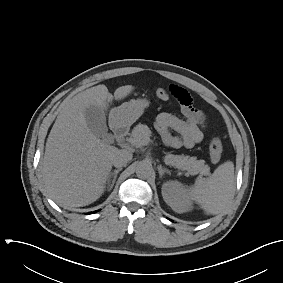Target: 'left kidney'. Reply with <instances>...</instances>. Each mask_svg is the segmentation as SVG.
<instances>
[{"label": "left kidney", "instance_id": "1", "mask_svg": "<svg viewBox=\"0 0 283 283\" xmlns=\"http://www.w3.org/2000/svg\"><path fill=\"white\" fill-rule=\"evenodd\" d=\"M164 201L177 213H184L192 208V203L184 186L178 181H167L162 185Z\"/></svg>", "mask_w": 283, "mask_h": 283}]
</instances>
